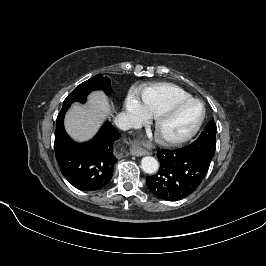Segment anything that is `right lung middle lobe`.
I'll list each match as a JSON object with an SVG mask.
<instances>
[{
    "label": "right lung middle lobe",
    "instance_id": "1",
    "mask_svg": "<svg viewBox=\"0 0 266 266\" xmlns=\"http://www.w3.org/2000/svg\"><path fill=\"white\" fill-rule=\"evenodd\" d=\"M93 90H103L110 93V79L98 74L78 85L63 102V107H70L71 103L79 101L84 103L87 95Z\"/></svg>",
    "mask_w": 266,
    "mask_h": 266
}]
</instances>
